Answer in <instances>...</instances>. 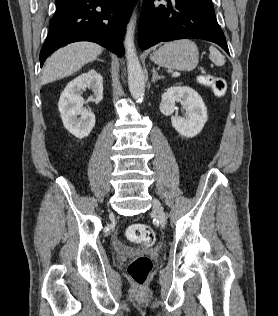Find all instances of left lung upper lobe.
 Wrapping results in <instances>:
<instances>
[{"mask_svg": "<svg viewBox=\"0 0 278 316\" xmlns=\"http://www.w3.org/2000/svg\"><path fill=\"white\" fill-rule=\"evenodd\" d=\"M204 6H206L207 8L211 9L214 11V7H213V4H212V1L211 0H194Z\"/></svg>", "mask_w": 278, "mask_h": 316, "instance_id": "1", "label": "left lung upper lobe"}]
</instances>
